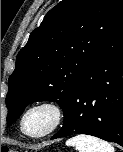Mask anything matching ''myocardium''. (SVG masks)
I'll list each match as a JSON object with an SVG mask.
<instances>
[{
    "mask_svg": "<svg viewBox=\"0 0 123 152\" xmlns=\"http://www.w3.org/2000/svg\"><path fill=\"white\" fill-rule=\"evenodd\" d=\"M48 109L52 115H53V121L51 125L43 132L39 134H32L29 133L26 128H25V120L27 116L34 110L36 109ZM64 119V111L63 108L55 101H50V100H44V101H39L31 105L26 109V111L23 113L20 121V126L22 132L27 135L28 137L31 138H43L46 137L50 134H52L63 122Z\"/></svg>",
    "mask_w": 123,
    "mask_h": 152,
    "instance_id": "myocardium-1",
    "label": "myocardium"
}]
</instances>
